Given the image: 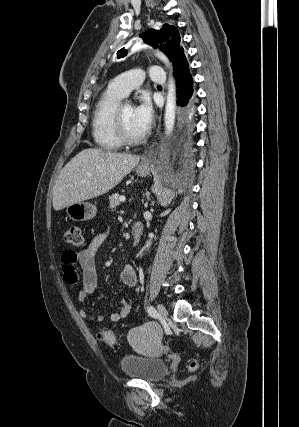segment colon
Masks as SVG:
<instances>
[{"label":"colon","instance_id":"obj_1","mask_svg":"<svg viewBox=\"0 0 299 427\" xmlns=\"http://www.w3.org/2000/svg\"><path fill=\"white\" fill-rule=\"evenodd\" d=\"M64 239L65 241L73 246H81L83 244V237L81 233V228L78 225H71L69 226L65 232H64ZM98 338L105 342L106 344L113 346V347H119L120 346V338L117 336V334L110 330V329H100L98 331ZM197 362L193 361L190 364V369H196L197 368Z\"/></svg>","mask_w":299,"mask_h":427}]
</instances>
